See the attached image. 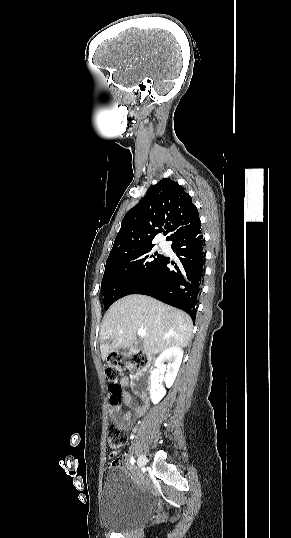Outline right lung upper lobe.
<instances>
[{
  "mask_svg": "<svg viewBox=\"0 0 291 538\" xmlns=\"http://www.w3.org/2000/svg\"><path fill=\"white\" fill-rule=\"evenodd\" d=\"M200 222L196 206L183 187L170 178L151 186L143 199L124 216L109 258L153 246L165 228L169 241Z\"/></svg>",
  "mask_w": 291,
  "mask_h": 538,
  "instance_id": "obj_1",
  "label": "right lung upper lobe"
}]
</instances>
